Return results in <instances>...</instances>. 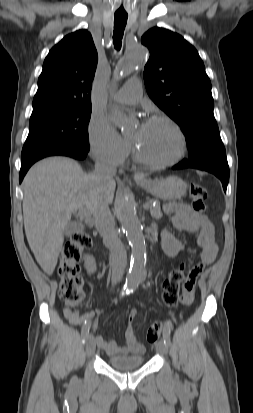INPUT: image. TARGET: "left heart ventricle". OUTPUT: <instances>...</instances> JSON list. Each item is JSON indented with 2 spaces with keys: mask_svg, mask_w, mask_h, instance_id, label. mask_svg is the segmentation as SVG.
<instances>
[{
  "mask_svg": "<svg viewBox=\"0 0 253 413\" xmlns=\"http://www.w3.org/2000/svg\"><path fill=\"white\" fill-rule=\"evenodd\" d=\"M131 139L141 153L153 161H167L178 150V138L172 128L163 121H155L137 126Z\"/></svg>",
  "mask_w": 253,
  "mask_h": 413,
  "instance_id": "1",
  "label": "left heart ventricle"
}]
</instances>
